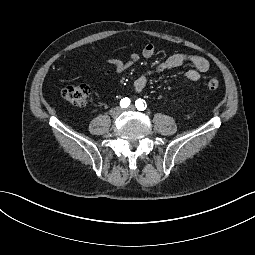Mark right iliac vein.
Returning a JSON list of instances; mask_svg holds the SVG:
<instances>
[{"label": "right iliac vein", "mask_w": 255, "mask_h": 255, "mask_svg": "<svg viewBox=\"0 0 255 255\" xmlns=\"http://www.w3.org/2000/svg\"><path fill=\"white\" fill-rule=\"evenodd\" d=\"M122 108L121 107H115L111 110L110 114L113 118H117L118 116H120V114L122 113Z\"/></svg>", "instance_id": "obj_1"}]
</instances>
